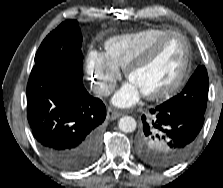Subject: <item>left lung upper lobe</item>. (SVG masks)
<instances>
[{
  "label": "left lung upper lobe",
  "mask_w": 223,
  "mask_h": 188,
  "mask_svg": "<svg viewBox=\"0 0 223 188\" xmlns=\"http://www.w3.org/2000/svg\"><path fill=\"white\" fill-rule=\"evenodd\" d=\"M208 74L205 66H198L180 94L160 106L168 111H185L204 115L208 99ZM148 152H139L140 158L148 164L162 167L161 158L165 156V147L157 137L146 138Z\"/></svg>",
  "instance_id": "obj_1"
}]
</instances>
